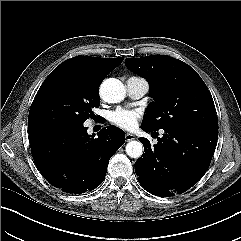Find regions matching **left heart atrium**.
I'll use <instances>...</instances> for the list:
<instances>
[{
  "mask_svg": "<svg viewBox=\"0 0 241 241\" xmlns=\"http://www.w3.org/2000/svg\"><path fill=\"white\" fill-rule=\"evenodd\" d=\"M140 112L137 110L129 109H116L109 115L110 121L125 130H132L136 127Z\"/></svg>",
  "mask_w": 241,
  "mask_h": 241,
  "instance_id": "left-heart-atrium-1",
  "label": "left heart atrium"
}]
</instances>
